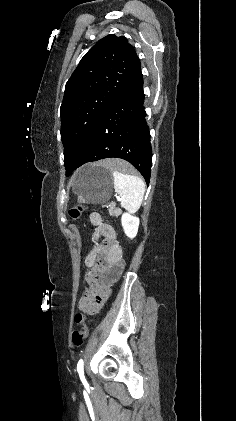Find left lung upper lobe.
Wrapping results in <instances>:
<instances>
[{
	"instance_id": "left-lung-upper-lobe-1",
	"label": "left lung upper lobe",
	"mask_w": 236,
	"mask_h": 421,
	"mask_svg": "<svg viewBox=\"0 0 236 421\" xmlns=\"http://www.w3.org/2000/svg\"><path fill=\"white\" fill-rule=\"evenodd\" d=\"M138 60L126 38L107 35L81 59L65 86L60 107L65 165H74Z\"/></svg>"
}]
</instances>
